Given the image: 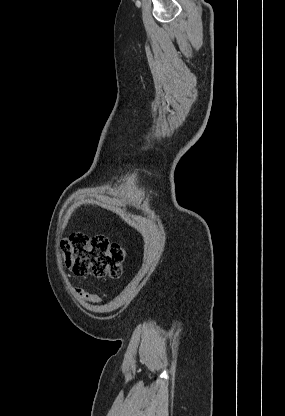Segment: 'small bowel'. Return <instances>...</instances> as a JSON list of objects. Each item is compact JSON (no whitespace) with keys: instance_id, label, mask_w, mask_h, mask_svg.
Here are the masks:
<instances>
[{"instance_id":"1","label":"small bowel","mask_w":285,"mask_h":416,"mask_svg":"<svg viewBox=\"0 0 285 416\" xmlns=\"http://www.w3.org/2000/svg\"><path fill=\"white\" fill-rule=\"evenodd\" d=\"M78 294L81 298L93 304H99L101 302V298L97 294L86 292L82 289L78 290Z\"/></svg>"}]
</instances>
